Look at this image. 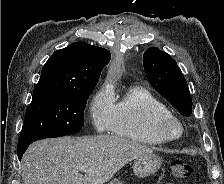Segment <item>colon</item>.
<instances>
[{"instance_id": "obj_1", "label": "colon", "mask_w": 224, "mask_h": 184, "mask_svg": "<svg viewBox=\"0 0 224 184\" xmlns=\"http://www.w3.org/2000/svg\"><path fill=\"white\" fill-rule=\"evenodd\" d=\"M171 175L177 181L185 180L192 174V167L181 160H174L170 164Z\"/></svg>"}]
</instances>
